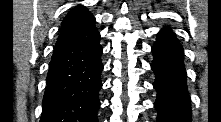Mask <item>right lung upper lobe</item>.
Here are the masks:
<instances>
[{
    "mask_svg": "<svg viewBox=\"0 0 221 122\" xmlns=\"http://www.w3.org/2000/svg\"><path fill=\"white\" fill-rule=\"evenodd\" d=\"M93 15L84 7L78 6L71 10L63 19L58 40L94 21Z\"/></svg>",
    "mask_w": 221,
    "mask_h": 122,
    "instance_id": "cb5924a9",
    "label": "right lung upper lobe"
}]
</instances>
